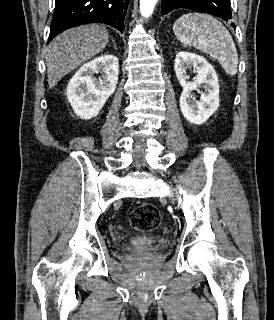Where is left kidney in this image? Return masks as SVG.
Instances as JSON below:
<instances>
[{"mask_svg": "<svg viewBox=\"0 0 274 320\" xmlns=\"http://www.w3.org/2000/svg\"><path fill=\"white\" fill-rule=\"evenodd\" d=\"M193 66L196 72L193 82H187V68ZM174 70L177 80L183 90L180 96V110L190 124H205L208 118L219 108V84L217 74L211 64L203 56L191 52H178L175 58ZM204 88L200 100H193V92Z\"/></svg>", "mask_w": 274, "mask_h": 320, "instance_id": "1", "label": "left kidney"}]
</instances>
